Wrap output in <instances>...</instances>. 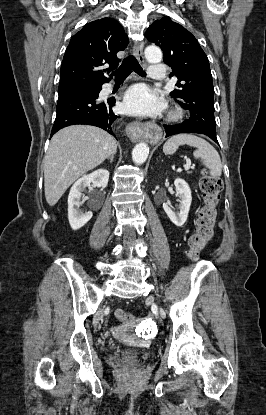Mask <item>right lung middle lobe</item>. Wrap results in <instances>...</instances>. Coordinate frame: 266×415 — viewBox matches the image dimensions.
<instances>
[{
    "mask_svg": "<svg viewBox=\"0 0 266 415\" xmlns=\"http://www.w3.org/2000/svg\"><path fill=\"white\" fill-rule=\"evenodd\" d=\"M96 90H97V88H89V89L78 90V91H75V92H71V93H67V94H63V95H59V96L90 93V92H93V91H96Z\"/></svg>",
    "mask_w": 266,
    "mask_h": 415,
    "instance_id": "dd1d6c3e",
    "label": "right lung middle lobe"
}]
</instances>
